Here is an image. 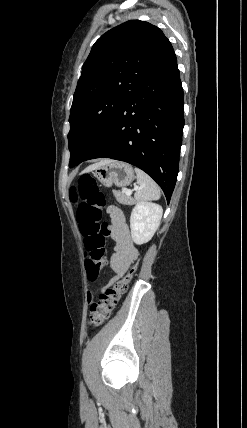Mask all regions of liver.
<instances>
[{
  "instance_id": "obj_1",
  "label": "liver",
  "mask_w": 247,
  "mask_h": 428,
  "mask_svg": "<svg viewBox=\"0 0 247 428\" xmlns=\"http://www.w3.org/2000/svg\"><path fill=\"white\" fill-rule=\"evenodd\" d=\"M112 160H110V159H104V160H101L100 162H97V163H95V164H93V165H90V166H88L85 170H84V172H90V171H93L94 169H96L97 167H99V166H101V165H104V164H107V163H110Z\"/></svg>"
}]
</instances>
